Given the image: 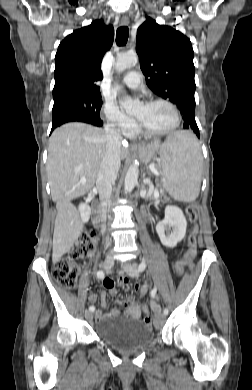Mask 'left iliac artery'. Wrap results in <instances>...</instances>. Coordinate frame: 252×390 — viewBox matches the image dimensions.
<instances>
[{
	"label": "left iliac artery",
	"mask_w": 252,
	"mask_h": 390,
	"mask_svg": "<svg viewBox=\"0 0 252 390\" xmlns=\"http://www.w3.org/2000/svg\"><path fill=\"white\" fill-rule=\"evenodd\" d=\"M145 268H146V263L145 262H141L140 264H139V266H138V271H140V272H142V271H144L145 270ZM156 288H154L152 291H151V297L152 298H155L156 297ZM168 309L167 308H165L164 309V311H163V313L165 314V315H167L168 314Z\"/></svg>",
	"instance_id": "1"
}]
</instances>
